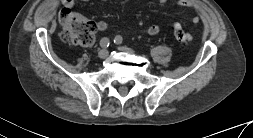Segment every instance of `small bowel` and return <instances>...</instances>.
Here are the masks:
<instances>
[{
  "instance_id": "obj_1",
  "label": "small bowel",
  "mask_w": 253,
  "mask_h": 138,
  "mask_svg": "<svg viewBox=\"0 0 253 138\" xmlns=\"http://www.w3.org/2000/svg\"><path fill=\"white\" fill-rule=\"evenodd\" d=\"M83 2H88L89 0H81ZM101 1H107V0H101ZM170 0H157V2L161 5L168 3ZM61 3L64 7L68 8V9H72L75 6V0H61ZM177 6L178 7H192L196 9V15L195 17L192 19L193 23H197L200 18H201V13L198 10V8L190 1L188 0H179L177 2ZM95 23V27H96V31L99 32H104L109 30V25L105 22V21H98V22H94ZM178 25V24H175ZM143 33L148 34V35H157L160 32V26L158 25H149L147 27H145L142 30Z\"/></svg>"
}]
</instances>
